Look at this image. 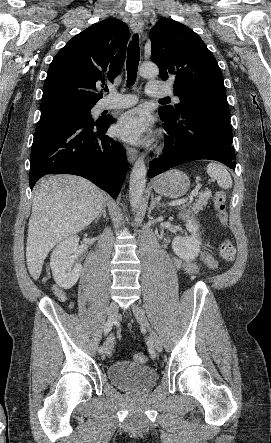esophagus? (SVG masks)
I'll list each match as a JSON object with an SVG mask.
<instances>
[{"label":"esophagus","instance_id":"esophagus-1","mask_svg":"<svg viewBox=\"0 0 271 443\" xmlns=\"http://www.w3.org/2000/svg\"><path fill=\"white\" fill-rule=\"evenodd\" d=\"M130 28L133 33L140 34L143 39V31H144V22L139 15H134L130 21ZM126 154L129 163H134L137 158V150L135 148H131L130 146L126 147Z\"/></svg>","mask_w":271,"mask_h":443}]
</instances>
